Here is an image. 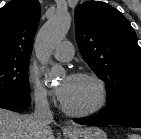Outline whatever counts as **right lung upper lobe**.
Wrapping results in <instances>:
<instances>
[{"label": "right lung upper lobe", "instance_id": "1", "mask_svg": "<svg viewBox=\"0 0 141 139\" xmlns=\"http://www.w3.org/2000/svg\"><path fill=\"white\" fill-rule=\"evenodd\" d=\"M40 12L38 0H12L0 9V59H30Z\"/></svg>", "mask_w": 141, "mask_h": 139}]
</instances>
